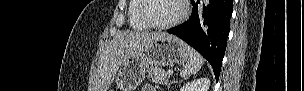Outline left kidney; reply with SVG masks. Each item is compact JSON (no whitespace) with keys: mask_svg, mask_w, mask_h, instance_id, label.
<instances>
[{"mask_svg":"<svg viewBox=\"0 0 304 91\" xmlns=\"http://www.w3.org/2000/svg\"><path fill=\"white\" fill-rule=\"evenodd\" d=\"M210 80L208 78H198L184 85L180 91H208Z\"/></svg>","mask_w":304,"mask_h":91,"instance_id":"left-kidney-1","label":"left kidney"}]
</instances>
